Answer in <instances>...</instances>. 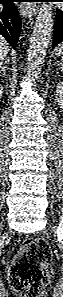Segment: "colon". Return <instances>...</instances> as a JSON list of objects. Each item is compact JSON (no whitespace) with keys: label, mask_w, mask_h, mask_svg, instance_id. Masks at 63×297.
I'll list each match as a JSON object with an SVG mask.
<instances>
[{"label":"colon","mask_w":63,"mask_h":297,"mask_svg":"<svg viewBox=\"0 0 63 297\" xmlns=\"http://www.w3.org/2000/svg\"><path fill=\"white\" fill-rule=\"evenodd\" d=\"M51 261L49 245L31 237L21 245L11 267L9 282L21 297H43L49 287L47 266Z\"/></svg>","instance_id":"5ec220e1"}]
</instances>
